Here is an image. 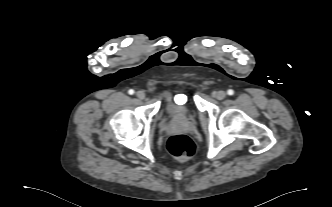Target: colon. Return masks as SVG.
Instances as JSON below:
<instances>
[{
	"instance_id": "5ec220e1",
	"label": "colon",
	"mask_w": 332,
	"mask_h": 207,
	"mask_svg": "<svg viewBox=\"0 0 332 207\" xmlns=\"http://www.w3.org/2000/svg\"><path fill=\"white\" fill-rule=\"evenodd\" d=\"M167 148L173 156L181 160L192 157L195 152L193 141L184 134L171 136L168 140Z\"/></svg>"
}]
</instances>
